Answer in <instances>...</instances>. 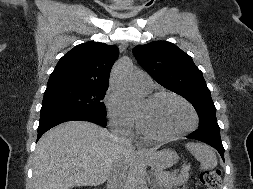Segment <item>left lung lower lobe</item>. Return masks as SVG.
Returning <instances> with one entry per match:
<instances>
[{
  "label": "left lung lower lobe",
  "instance_id": "obj_1",
  "mask_svg": "<svg viewBox=\"0 0 253 189\" xmlns=\"http://www.w3.org/2000/svg\"><path fill=\"white\" fill-rule=\"evenodd\" d=\"M188 138L196 139L213 146L224 161V147L221 142L220 128L203 127L192 132Z\"/></svg>",
  "mask_w": 253,
  "mask_h": 189
}]
</instances>
